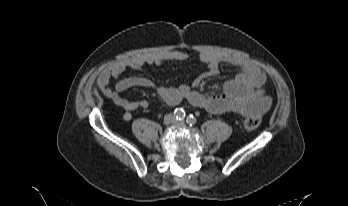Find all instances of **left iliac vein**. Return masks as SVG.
Masks as SVG:
<instances>
[{
	"label": "left iliac vein",
	"instance_id": "4c4485c4",
	"mask_svg": "<svg viewBox=\"0 0 348 206\" xmlns=\"http://www.w3.org/2000/svg\"><path fill=\"white\" fill-rule=\"evenodd\" d=\"M180 126H184L185 125V121H181V122H177Z\"/></svg>",
	"mask_w": 348,
	"mask_h": 206
}]
</instances>
